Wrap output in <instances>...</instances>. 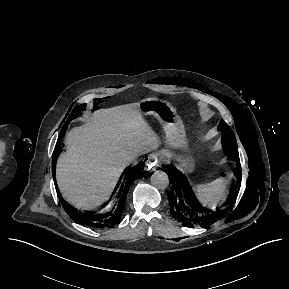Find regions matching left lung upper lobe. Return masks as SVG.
Returning <instances> with one entry per match:
<instances>
[{"instance_id":"obj_1","label":"left lung upper lobe","mask_w":289,"mask_h":289,"mask_svg":"<svg viewBox=\"0 0 289 289\" xmlns=\"http://www.w3.org/2000/svg\"><path fill=\"white\" fill-rule=\"evenodd\" d=\"M219 130L222 131V145L229 148V158L239 162L238 149L230 127L222 120L219 125Z\"/></svg>"}]
</instances>
